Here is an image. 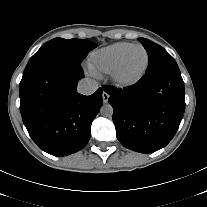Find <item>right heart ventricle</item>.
<instances>
[{
	"label": "right heart ventricle",
	"mask_w": 207,
	"mask_h": 207,
	"mask_svg": "<svg viewBox=\"0 0 207 207\" xmlns=\"http://www.w3.org/2000/svg\"><path fill=\"white\" fill-rule=\"evenodd\" d=\"M133 44L118 42L93 52L89 58L91 71L100 76L110 73L123 53Z\"/></svg>",
	"instance_id": "e07e8e85"
}]
</instances>
